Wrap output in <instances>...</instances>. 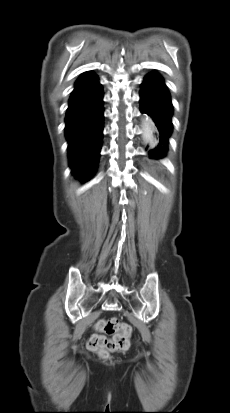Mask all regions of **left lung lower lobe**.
I'll use <instances>...</instances> for the list:
<instances>
[{
    "label": "left lung lower lobe",
    "mask_w": 230,
    "mask_h": 413,
    "mask_svg": "<svg viewBox=\"0 0 230 413\" xmlns=\"http://www.w3.org/2000/svg\"><path fill=\"white\" fill-rule=\"evenodd\" d=\"M140 111L152 117L159 131V143L148 155L151 159L163 158L172 132L173 105L163 78L156 72L147 74L141 85Z\"/></svg>",
    "instance_id": "1"
}]
</instances>
